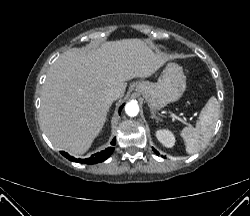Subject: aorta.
<instances>
[{
    "label": "aorta",
    "mask_w": 250,
    "mask_h": 216,
    "mask_svg": "<svg viewBox=\"0 0 250 216\" xmlns=\"http://www.w3.org/2000/svg\"><path fill=\"white\" fill-rule=\"evenodd\" d=\"M125 112L130 117H135L139 113V105L136 101H130L125 105Z\"/></svg>",
    "instance_id": "762f6f07"
}]
</instances>
